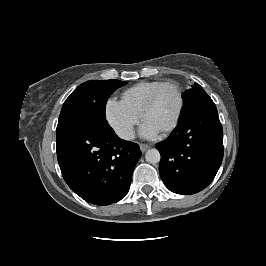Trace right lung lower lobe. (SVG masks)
Listing matches in <instances>:
<instances>
[{
	"instance_id": "right-lung-lower-lobe-1",
	"label": "right lung lower lobe",
	"mask_w": 266,
	"mask_h": 266,
	"mask_svg": "<svg viewBox=\"0 0 266 266\" xmlns=\"http://www.w3.org/2000/svg\"><path fill=\"white\" fill-rule=\"evenodd\" d=\"M141 151L120 139L107 122L92 123L57 144V158L68 186L85 201L109 205L129 191Z\"/></svg>"
}]
</instances>
